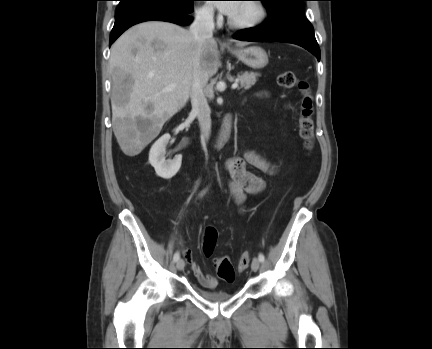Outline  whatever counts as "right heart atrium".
I'll return each mask as SVG.
<instances>
[{
	"mask_svg": "<svg viewBox=\"0 0 432 349\" xmlns=\"http://www.w3.org/2000/svg\"><path fill=\"white\" fill-rule=\"evenodd\" d=\"M196 14L201 20L211 21L214 17V10L211 5L203 4L196 9Z\"/></svg>",
	"mask_w": 432,
	"mask_h": 349,
	"instance_id": "right-heart-atrium-1",
	"label": "right heart atrium"
}]
</instances>
